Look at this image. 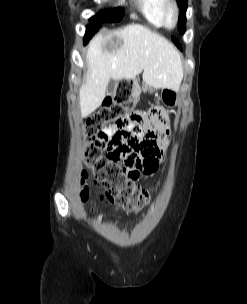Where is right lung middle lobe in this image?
<instances>
[{
	"label": "right lung middle lobe",
	"mask_w": 247,
	"mask_h": 304,
	"mask_svg": "<svg viewBox=\"0 0 247 304\" xmlns=\"http://www.w3.org/2000/svg\"><path fill=\"white\" fill-rule=\"evenodd\" d=\"M124 15L123 8H115L103 13H98L89 19L92 24L87 26L84 40L88 41L100 28V24L104 22H118Z\"/></svg>",
	"instance_id": "obj_1"
}]
</instances>
